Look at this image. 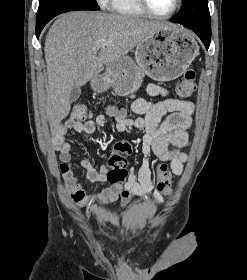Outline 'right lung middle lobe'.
Returning <instances> with one entry per match:
<instances>
[{
	"label": "right lung middle lobe",
	"instance_id": "dd1d6c3e",
	"mask_svg": "<svg viewBox=\"0 0 247 280\" xmlns=\"http://www.w3.org/2000/svg\"><path fill=\"white\" fill-rule=\"evenodd\" d=\"M74 10H100L96 0H40L36 25L48 23L53 17Z\"/></svg>",
	"mask_w": 247,
	"mask_h": 280
}]
</instances>
